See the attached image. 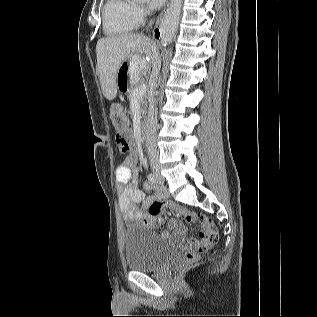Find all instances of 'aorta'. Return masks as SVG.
<instances>
[{"label":"aorta","mask_w":317,"mask_h":317,"mask_svg":"<svg viewBox=\"0 0 317 317\" xmlns=\"http://www.w3.org/2000/svg\"><path fill=\"white\" fill-rule=\"evenodd\" d=\"M142 2L144 0H136ZM177 26V19L175 17L166 18L161 25V33L165 35H171L175 31Z\"/></svg>","instance_id":"obj_1"}]
</instances>
